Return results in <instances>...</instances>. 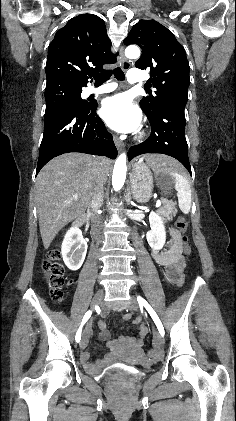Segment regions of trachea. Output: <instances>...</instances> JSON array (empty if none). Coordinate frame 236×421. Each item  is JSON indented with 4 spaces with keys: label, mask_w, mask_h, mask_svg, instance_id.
<instances>
[{
    "label": "trachea",
    "mask_w": 236,
    "mask_h": 421,
    "mask_svg": "<svg viewBox=\"0 0 236 421\" xmlns=\"http://www.w3.org/2000/svg\"><path fill=\"white\" fill-rule=\"evenodd\" d=\"M114 73L117 80L123 81L125 80V74L121 70V68L117 67L113 71H105L102 73H98L97 75H94L95 83H104L107 80H109L110 76ZM146 90L149 89V87H145Z\"/></svg>",
    "instance_id": "1"
}]
</instances>
